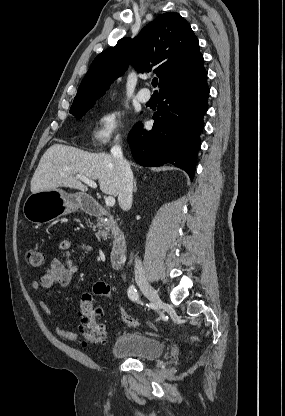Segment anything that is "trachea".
<instances>
[{
  "label": "trachea",
  "instance_id": "3493384b",
  "mask_svg": "<svg viewBox=\"0 0 285 416\" xmlns=\"http://www.w3.org/2000/svg\"><path fill=\"white\" fill-rule=\"evenodd\" d=\"M157 84H158V79L157 78H153V80H152V86L153 87H156Z\"/></svg>",
  "mask_w": 285,
  "mask_h": 416
}]
</instances>
